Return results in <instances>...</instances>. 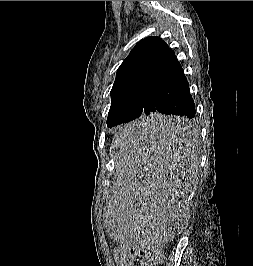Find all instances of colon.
<instances>
[{"label":"colon","mask_w":253,"mask_h":266,"mask_svg":"<svg viewBox=\"0 0 253 266\" xmlns=\"http://www.w3.org/2000/svg\"><path fill=\"white\" fill-rule=\"evenodd\" d=\"M116 261L121 266L139 259L141 266H154L162 262L159 248H117L114 251Z\"/></svg>","instance_id":"5ec220e1"}]
</instances>
